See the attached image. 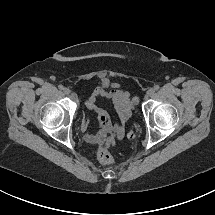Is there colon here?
<instances>
[{
  "mask_svg": "<svg viewBox=\"0 0 215 215\" xmlns=\"http://www.w3.org/2000/svg\"><path fill=\"white\" fill-rule=\"evenodd\" d=\"M130 138L134 137V134L131 133L129 135ZM98 160L101 164L109 166L112 165L114 163V159L113 157L107 152V150L105 148H100L98 151Z\"/></svg>",
  "mask_w": 215,
  "mask_h": 215,
  "instance_id": "colon-1",
  "label": "colon"
}]
</instances>
